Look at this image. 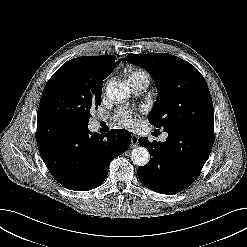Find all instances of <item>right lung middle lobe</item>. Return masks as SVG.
Masks as SVG:
<instances>
[{
  "mask_svg": "<svg viewBox=\"0 0 247 247\" xmlns=\"http://www.w3.org/2000/svg\"><path fill=\"white\" fill-rule=\"evenodd\" d=\"M103 82L93 77L76 58L62 65L47 82L38 116L61 123L88 127L91 111L101 104Z\"/></svg>",
  "mask_w": 247,
  "mask_h": 247,
  "instance_id": "right-lung-middle-lobe-1",
  "label": "right lung middle lobe"
}]
</instances>
